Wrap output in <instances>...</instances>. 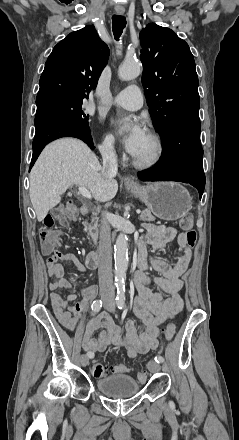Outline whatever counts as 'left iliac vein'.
I'll use <instances>...</instances> for the list:
<instances>
[{"instance_id":"left-iliac-vein-1","label":"left iliac vein","mask_w":239,"mask_h":440,"mask_svg":"<svg viewBox=\"0 0 239 440\" xmlns=\"http://www.w3.org/2000/svg\"><path fill=\"white\" fill-rule=\"evenodd\" d=\"M105 307L110 311V312H114L115 311V306H114V302L113 301H108L106 304H105ZM147 368H148V370L150 371V372H152V373H156V372H158L159 370H160V364L159 363H157L156 361H154V360H151V361H149L148 362V364H147Z\"/></svg>"}]
</instances>
